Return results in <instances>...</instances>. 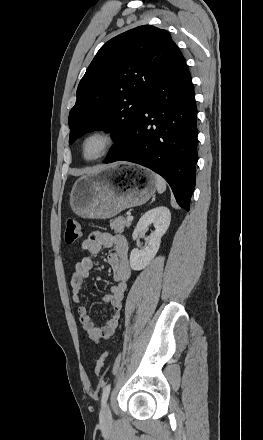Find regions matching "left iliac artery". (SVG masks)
<instances>
[{"mask_svg":"<svg viewBox=\"0 0 263 440\" xmlns=\"http://www.w3.org/2000/svg\"><path fill=\"white\" fill-rule=\"evenodd\" d=\"M110 389H111V385H110V384H108V385H106V386L104 387V389H103V393H102V400H101L102 405L105 404V402H106V400H107V398H108V396H109Z\"/></svg>","mask_w":263,"mask_h":440,"instance_id":"1","label":"left iliac artery"}]
</instances>
